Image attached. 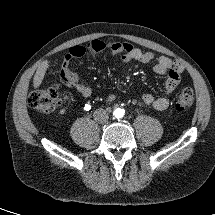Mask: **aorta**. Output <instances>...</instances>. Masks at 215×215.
Masks as SVG:
<instances>
[{
  "label": "aorta",
  "mask_w": 215,
  "mask_h": 215,
  "mask_svg": "<svg viewBox=\"0 0 215 215\" xmlns=\"http://www.w3.org/2000/svg\"><path fill=\"white\" fill-rule=\"evenodd\" d=\"M115 116L117 118H120L123 116V110L122 109H117L116 112H115Z\"/></svg>",
  "instance_id": "aorta-1"
}]
</instances>
